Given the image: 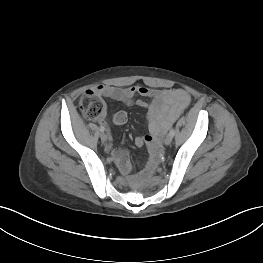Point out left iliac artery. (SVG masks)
<instances>
[{"instance_id": "left-iliac-artery-1", "label": "left iliac artery", "mask_w": 263, "mask_h": 263, "mask_svg": "<svg viewBox=\"0 0 263 263\" xmlns=\"http://www.w3.org/2000/svg\"><path fill=\"white\" fill-rule=\"evenodd\" d=\"M169 134L173 137L174 134H175V130L172 128V129L170 130Z\"/></svg>"}]
</instances>
